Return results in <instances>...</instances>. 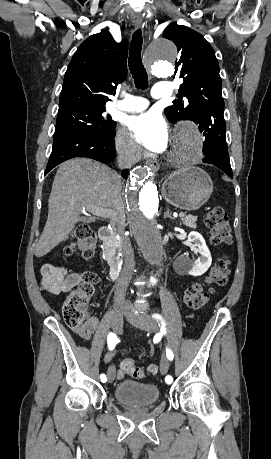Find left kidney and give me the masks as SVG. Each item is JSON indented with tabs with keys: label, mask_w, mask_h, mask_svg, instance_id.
Listing matches in <instances>:
<instances>
[{
	"label": "left kidney",
	"mask_w": 271,
	"mask_h": 459,
	"mask_svg": "<svg viewBox=\"0 0 271 459\" xmlns=\"http://www.w3.org/2000/svg\"><path fill=\"white\" fill-rule=\"evenodd\" d=\"M188 239H190V241H194V245H196L200 255L196 261L189 259V257H181L183 269L184 271H187V273H190V275H202V273H205L211 265V253L206 245L203 235L198 233V231H190Z\"/></svg>",
	"instance_id": "left-kidney-1"
}]
</instances>
